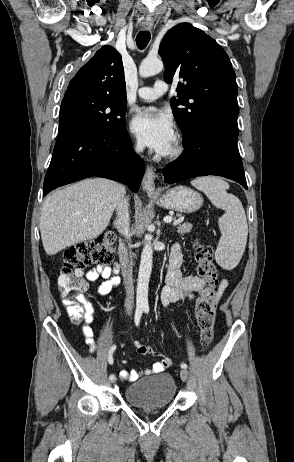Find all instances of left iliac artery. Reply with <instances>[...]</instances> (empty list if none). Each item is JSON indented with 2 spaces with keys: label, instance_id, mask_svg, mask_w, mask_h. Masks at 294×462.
Masks as SVG:
<instances>
[{
  "label": "left iliac artery",
  "instance_id": "left-iliac-artery-1",
  "mask_svg": "<svg viewBox=\"0 0 294 462\" xmlns=\"http://www.w3.org/2000/svg\"><path fill=\"white\" fill-rule=\"evenodd\" d=\"M144 311H145L146 313H148V312H149V307H145V308H144ZM181 368H182V369H186V368H187V364H185V363L181 364Z\"/></svg>",
  "mask_w": 294,
  "mask_h": 462
}]
</instances>
